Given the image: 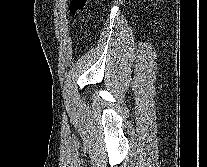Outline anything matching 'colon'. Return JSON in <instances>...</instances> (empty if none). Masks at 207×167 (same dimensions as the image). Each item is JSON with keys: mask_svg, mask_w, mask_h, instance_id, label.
Listing matches in <instances>:
<instances>
[{"mask_svg": "<svg viewBox=\"0 0 207 167\" xmlns=\"http://www.w3.org/2000/svg\"><path fill=\"white\" fill-rule=\"evenodd\" d=\"M88 0H70L69 12L71 15L80 19L83 11L86 8Z\"/></svg>", "mask_w": 207, "mask_h": 167, "instance_id": "obj_1", "label": "colon"}]
</instances>
